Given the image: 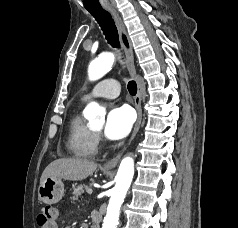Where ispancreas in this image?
Here are the masks:
<instances>
[{
  "label": "pancreas",
  "instance_id": "1",
  "mask_svg": "<svg viewBox=\"0 0 238 228\" xmlns=\"http://www.w3.org/2000/svg\"><path fill=\"white\" fill-rule=\"evenodd\" d=\"M90 187L86 184H80L76 188H74L72 195L73 199H78L79 196H81L82 193H84L85 190H89Z\"/></svg>",
  "mask_w": 238,
  "mask_h": 228
}]
</instances>
